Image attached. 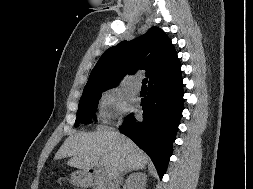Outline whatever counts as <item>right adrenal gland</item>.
I'll return each instance as SVG.
<instances>
[{"label":"right adrenal gland","mask_w":253,"mask_h":189,"mask_svg":"<svg viewBox=\"0 0 253 189\" xmlns=\"http://www.w3.org/2000/svg\"><path fill=\"white\" fill-rule=\"evenodd\" d=\"M133 170H127L125 173H129L132 172ZM134 174V173H133ZM123 180V178L121 179V181Z\"/></svg>","instance_id":"2a0ac1e0"}]
</instances>
